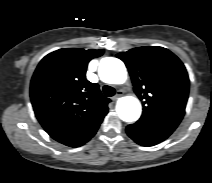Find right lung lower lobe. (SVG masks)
Here are the masks:
<instances>
[{
  "label": "right lung lower lobe",
  "instance_id": "right-lung-lower-lobe-1",
  "mask_svg": "<svg viewBox=\"0 0 212 183\" xmlns=\"http://www.w3.org/2000/svg\"><path fill=\"white\" fill-rule=\"evenodd\" d=\"M93 136H94V135H93ZM93 136H92V137H93ZM92 137H91V138H92ZM89 139H90V138H89ZM89 139H88V140H89ZM88 140H87V141H88ZM87 141H86V142H87ZM86 142H84V143H86ZM84 143H82V144H80V145H78V146H81V145H83ZM78 146H75V147H78Z\"/></svg>",
  "mask_w": 212,
  "mask_h": 183
}]
</instances>
